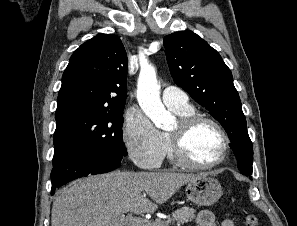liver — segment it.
<instances>
[{
	"label": "liver",
	"instance_id": "liver-1",
	"mask_svg": "<svg viewBox=\"0 0 297 226\" xmlns=\"http://www.w3.org/2000/svg\"><path fill=\"white\" fill-rule=\"evenodd\" d=\"M203 175L114 171L78 179L54 201L51 226H117L120 215L155 212L180 187Z\"/></svg>",
	"mask_w": 297,
	"mask_h": 226
}]
</instances>
